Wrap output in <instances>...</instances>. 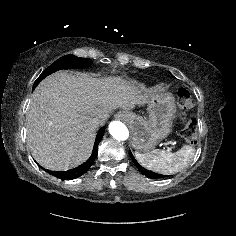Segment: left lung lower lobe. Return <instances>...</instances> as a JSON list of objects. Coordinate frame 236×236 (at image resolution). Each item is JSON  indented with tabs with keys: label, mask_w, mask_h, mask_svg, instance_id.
I'll use <instances>...</instances> for the list:
<instances>
[{
	"label": "left lung lower lobe",
	"mask_w": 236,
	"mask_h": 236,
	"mask_svg": "<svg viewBox=\"0 0 236 236\" xmlns=\"http://www.w3.org/2000/svg\"><path fill=\"white\" fill-rule=\"evenodd\" d=\"M129 155L132 159V161L134 162V164L137 166V168L142 172V174H144L145 176L149 177V178H163L165 177V175H160L151 171L146 170L145 168H143L134 158V156L132 155L131 151H129Z\"/></svg>",
	"instance_id": "1"
}]
</instances>
